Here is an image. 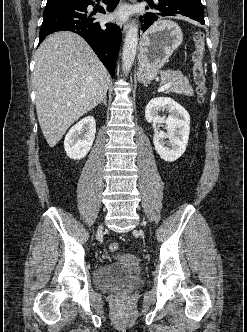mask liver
Instances as JSON below:
<instances>
[{"label":"liver","mask_w":247,"mask_h":332,"mask_svg":"<svg viewBox=\"0 0 247 332\" xmlns=\"http://www.w3.org/2000/svg\"><path fill=\"white\" fill-rule=\"evenodd\" d=\"M108 83V71L79 35L61 31L41 43L33 84L38 121L50 147L103 100Z\"/></svg>","instance_id":"6515ba94"}]
</instances>
